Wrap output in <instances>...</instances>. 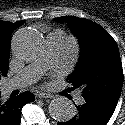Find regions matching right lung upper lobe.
<instances>
[{"label":"right lung upper lobe","mask_w":125,"mask_h":125,"mask_svg":"<svg viewBox=\"0 0 125 125\" xmlns=\"http://www.w3.org/2000/svg\"><path fill=\"white\" fill-rule=\"evenodd\" d=\"M25 21L6 22L0 20V75L7 76L10 58V37L12 32Z\"/></svg>","instance_id":"1"}]
</instances>
